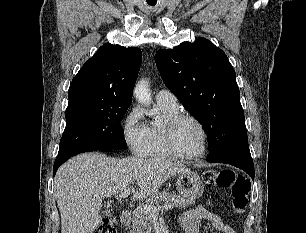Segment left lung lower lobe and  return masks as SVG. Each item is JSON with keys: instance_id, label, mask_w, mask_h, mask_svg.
<instances>
[{"instance_id": "obj_1", "label": "left lung lower lobe", "mask_w": 306, "mask_h": 233, "mask_svg": "<svg viewBox=\"0 0 306 233\" xmlns=\"http://www.w3.org/2000/svg\"><path fill=\"white\" fill-rule=\"evenodd\" d=\"M208 162L226 163L248 173L254 180V165L249 149L235 150L207 158Z\"/></svg>"}]
</instances>
